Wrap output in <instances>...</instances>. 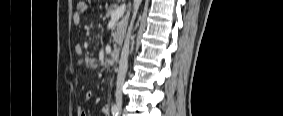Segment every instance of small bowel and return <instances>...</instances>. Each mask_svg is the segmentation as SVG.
<instances>
[{"instance_id": "obj_1", "label": "small bowel", "mask_w": 283, "mask_h": 116, "mask_svg": "<svg viewBox=\"0 0 283 116\" xmlns=\"http://www.w3.org/2000/svg\"><path fill=\"white\" fill-rule=\"evenodd\" d=\"M81 11H77L73 14L72 16V20H73V23L75 25H79L81 22H82V15H81ZM75 52L80 55V56H83L84 55V50L82 48V46L80 44H77L75 46ZM84 61L87 63V64H91V60L90 59H84ZM94 97V94L92 91H87L86 94H85V99L86 100H91L92 98ZM101 113L103 116H110V107L108 104L102 106L101 108ZM77 114L79 116H85L87 115L85 109L83 108H79L78 111H77Z\"/></svg>"}]
</instances>
